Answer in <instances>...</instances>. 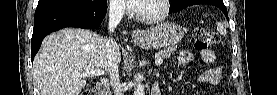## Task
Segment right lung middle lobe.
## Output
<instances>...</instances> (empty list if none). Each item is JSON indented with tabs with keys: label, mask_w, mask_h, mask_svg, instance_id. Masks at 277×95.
<instances>
[{
	"label": "right lung middle lobe",
	"mask_w": 277,
	"mask_h": 95,
	"mask_svg": "<svg viewBox=\"0 0 277 95\" xmlns=\"http://www.w3.org/2000/svg\"><path fill=\"white\" fill-rule=\"evenodd\" d=\"M104 0H39L37 8L58 5H90Z\"/></svg>",
	"instance_id": "right-lung-middle-lobe-1"
}]
</instances>
